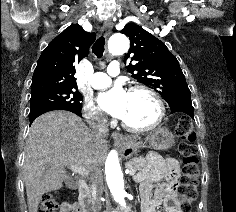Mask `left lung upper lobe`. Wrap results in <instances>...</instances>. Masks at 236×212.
<instances>
[{
  "label": "left lung upper lobe",
  "mask_w": 236,
  "mask_h": 212,
  "mask_svg": "<svg viewBox=\"0 0 236 212\" xmlns=\"http://www.w3.org/2000/svg\"><path fill=\"white\" fill-rule=\"evenodd\" d=\"M121 33L131 42L124 62L130 55L135 61L128 65L133 78L151 86L167 102L177 95L190 94L178 60L162 41L134 23L127 24Z\"/></svg>",
  "instance_id": "obj_1"
}]
</instances>
